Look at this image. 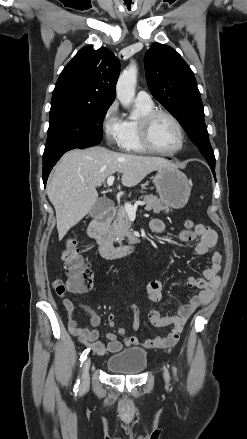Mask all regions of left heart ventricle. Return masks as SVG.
Masks as SVG:
<instances>
[{"mask_svg":"<svg viewBox=\"0 0 247 439\" xmlns=\"http://www.w3.org/2000/svg\"><path fill=\"white\" fill-rule=\"evenodd\" d=\"M150 139L155 148L170 151L178 146L179 133L168 117L158 116L151 125Z\"/></svg>","mask_w":247,"mask_h":439,"instance_id":"1","label":"left heart ventricle"}]
</instances>
